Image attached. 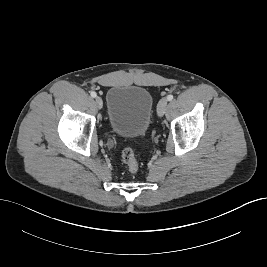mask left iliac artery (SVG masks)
<instances>
[{"label": "left iliac artery", "instance_id": "1", "mask_svg": "<svg viewBox=\"0 0 267 267\" xmlns=\"http://www.w3.org/2000/svg\"><path fill=\"white\" fill-rule=\"evenodd\" d=\"M172 99H173V95L170 94V95L167 96V100L168 101H171Z\"/></svg>", "mask_w": 267, "mask_h": 267}]
</instances>
